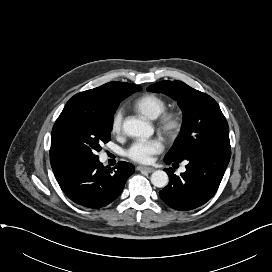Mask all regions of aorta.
<instances>
[{
    "label": "aorta",
    "instance_id": "obj_1",
    "mask_svg": "<svg viewBox=\"0 0 272 272\" xmlns=\"http://www.w3.org/2000/svg\"><path fill=\"white\" fill-rule=\"evenodd\" d=\"M123 130L128 136L148 138L153 135V127L140 119L130 117L123 123ZM169 182L167 173L163 170H157L151 175V183L158 188L165 187Z\"/></svg>",
    "mask_w": 272,
    "mask_h": 272
}]
</instances>
